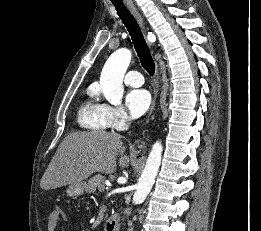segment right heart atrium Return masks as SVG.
Returning <instances> with one entry per match:
<instances>
[{"label": "right heart atrium", "mask_w": 261, "mask_h": 231, "mask_svg": "<svg viewBox=\"0 0 261 231\" xmlns=\"http://www.w3.org/2000/svg\"><path fill=\"white\" fill-rule=\"evenodd\" d=\"M104 109L109 128L120 131L128 126L131 117L123 107L104 104Z\"/></svg>", "instance_id": "obj_1"}]
</instances>
